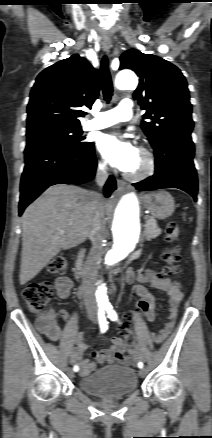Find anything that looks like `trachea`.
Segmentation results:
<instances>
[{"instance_id": "1", "label": "trachea", "mask_w": 212, "mask_h": 438, "mask_svg": "<svg viewBox=\"0 0 212 438\" xmlns=\"http://www.w3.org/2000/svg\"><path fill=\"white\" fill-rule=\"evenodd\" d=\"M100 73L103 96L105 101L109 103L113 96V84L109 71V62L106 55H104L101 60Z\"/></svg>"}]
</instances>
